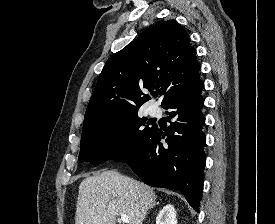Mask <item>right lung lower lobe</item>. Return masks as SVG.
<instances>
[{
  "mask_svg": "<svg viewBox=\"0 0 275 224\" xmlns=\"http://www.w3.org/2000/svg\"><path fill=\"white\" fill-rule=\"evenodd\" d=\"M204 83L197 76L186 88L169 98L162 107L169 109V128L157 126L135 145L113 158L127 163L146 184L177 189L194 210L202 198L205 168V134L201 114ZM165 138V143H161Z\"/></svg>",
  "mask_w": 275,
  "mask_h": 224,
  "instance_id": "1",
  "label": "right lung lower lobe"
}]
</instances>
